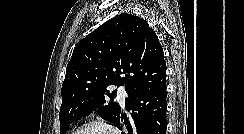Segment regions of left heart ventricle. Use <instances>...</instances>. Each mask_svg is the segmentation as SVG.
<instances>
[{
    "label": "left heart ventricle",
    "mask_w": 244,
    "mask_h": 134,
    "mask_svg": "<svg viewBox=\"0 0 244 134\" xmlns=\"http://www.w3.org/2000/svg\"><path fill=\"white\" fill-rule=\"evenodd\" d=\"M79 134H108V133L98 127H89L82 130Z\"/></svg>",
    "instance_id": "1"
}]
</instances>
